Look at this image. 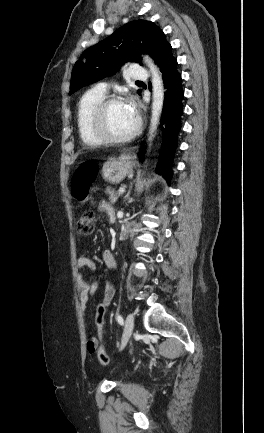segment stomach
<instances>
[{"label":"stomach","mask_w":264,"mask_h":433,"mask_svg":"<svg viewBox=\"0 0 264 433\" xmlns=\"http://www.w3.org/2000/svg\"><path fill=\"white\" fill-rule=\"evenodd\" d=\"M135 165L134 156L124 152L118 159L109 158L102 167L103 179L111 184H118L132 173Z\"/></svg>","instance_id":"0dacf381"}]
</instances>
